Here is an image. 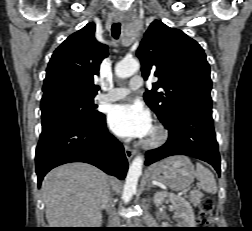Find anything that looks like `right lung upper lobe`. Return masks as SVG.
Segmentation results:
<instances>
[{"mask_svg":"<svg viewBox=\"0 0 252 231\" xmlns=\"http://www.w3.org/2000/svg\"><path fill=\"white\" fill-rule=\"evenodd\" d=\"M107 56L108 46L96 40L94 23L73 33L50 59L42 99L68 93L94 97L99 86L94 85L93 76Z\"/></svg>","mask_w":252,"mask_h":231,"instance_id":"right-lung-upper-lobe-1","label":"right lung upper lobe"}]
</instances>
